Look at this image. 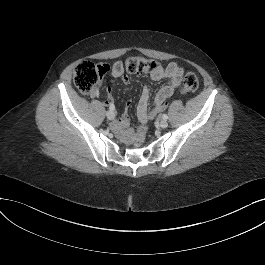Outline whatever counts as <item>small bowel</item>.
<instances>
[{"instance_id": "1", "label": "small bowel", "mask_w": 265, "mask_h": 265, "mask_svg": "<svg viewBox=\"0 0 265 265\" xmlns=\"http://www.w3.org/2000/svg\"><path fill=\"white\" fill-rule=\"evenodd\" d=\"M97 68L100 72L101 78L104 77L106 74L110 73L113 80H121L126 84L130 82L129 77L124 72V66L121 61H116L111 66L105 63H99L97 65ZM182 75L183 68L174 62H171L166 66H159L158 69L151 72L150 77L154 81L169 79V82L164 85L155 95V106L162 104L166 99L170 98L174 94L175 90L180 85ZM150 95V89L147 86H144L138 103V114L142 119L146 115ZM98 96V91H94L91 93L92 98H97ZM106 105H108L109 108L111 107L112 111L115 109V104L112 97V90L110 87L107 88ZM128 123L129 116L128 113L125 112L120 118L114 117L112 125L115 129L120 131L126 128L128 126Z\"/></svg>"}]
</instances>
